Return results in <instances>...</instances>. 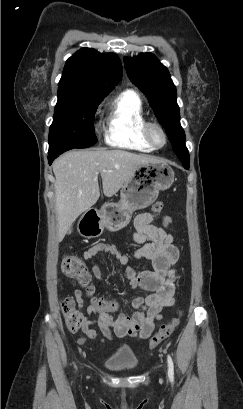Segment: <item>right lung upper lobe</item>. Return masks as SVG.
Here are the masks:
<instances>
[{
  "instance_id": "obj_1",
  "label": "right lung upper lobe",
  "mask_w": 243,
  "mask_h": 409,
  "mask_svg": "<svg viewBox=\"0 0 243 409\" xmlns=\"http://www.w3.org/2000/svg\"><path fill=\"white\" fill-rule=\"evenodd\" d=\"M121 78L122 64L116 54L82 48L66 61L58 93L103 99Z\"/></svg>"
}]
</instances>
